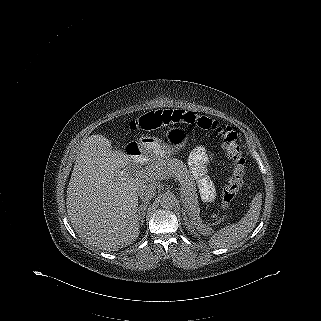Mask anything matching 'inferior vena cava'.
<instances>
[{
  "mask_svg": "<svg viewBox=\"0 0 321 321\" xmlns=\"http://www.w3.org/2000/svg\"><path fill=\"white\" fill-rule=\"evenodd\" d=\"M156 188L153 184H143L138 190V195L144 202H149L154 197Z\"/></svg>",
  "mask_w": 321,
  "mask_h": 321,
  "instance_id": "inferior-vena-cava-1",
  "label": "inferior vena cava"
}]
</instances>
